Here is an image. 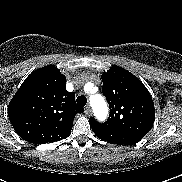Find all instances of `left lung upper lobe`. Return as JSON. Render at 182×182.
Returning a JSON list of instances; mask_svg holds the SVG:
<instances>
[{
	"label": "left lung upper lobe",
	"instance_id": "1",
	"mask_svg": "<svg viewBox=\"0 0 182 182\" xmlns=\"http://www.w3.org/2000/svg\"><path fill=\"white\" fill-rule=\"evenodd\" d=\"M102 81L110 118L105 123L90 118L91 126L142 139L155 120L154 103L147 88L135 75L119 66L104 72Z\"/></svg>",
	"mask_w": 182,
	"mask_h": 182
}]
</instances>
